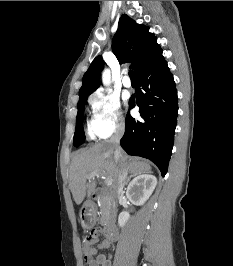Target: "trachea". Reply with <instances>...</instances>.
Wrapping results in <instances>:
<instances>
[{
  "label": "trachea",
  "mask_w": 233,
  "mask_h": 266,
  "mask_svg": "<svg viewBox=\"0 0 233 266\" xmlns=\"http://www.w3.org/2000/svg\"><path fill=\"white\" fill-rule=\"evenodd\" d=\"M129 77H130L131 79H135V74H134V71H133V70H130V71H129Z\"/></svg>",
  "instance_id": "3493384b"
}]
</instances>
